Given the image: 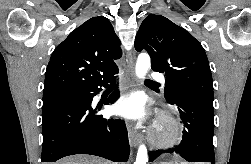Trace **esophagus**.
Masks as SVG:
<instances>
[{
	"label": "esophagus",
	"instance_id": "obj_1",
	"mask_svg": "<svg viewBox=\"0 0 251 164\" xmlns=\"http://www.w3.org/2000/svg\"><path fill=\"white\" fill-rule=\"evenodd\" d=\"M136 57L134 52L130 54L129 60L127 61L126 67H125V73L127 76V84L131 89H134L135 86V77H134V65H135ZM128 136L130 145L132 147H137L140 142V136L139 133L133 129L132 124L128 123Z\"/></svg>",
	"mask_w": 251,
	"mask_h": 164
}]
</instances>
